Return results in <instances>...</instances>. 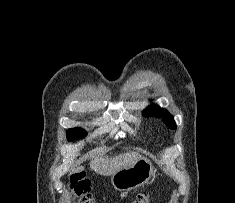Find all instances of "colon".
Segmentation results:
<instances>
[{
    "label": "colon",
    "mask_w": 235,
    "mask_h": 203,
    "mask_svg": "<svg viewBox=\"0 0 235 203\" xmlns=\"http://www.w3.org/2000/svg\"><path fill=\"white\" fill-rule=\"evenodd\" d=\"M70 192L74 203H96L92 195V185L89 179L81 174L73 175L70 181ZM148 193H140L131 203H149Z\"/></svg>",
    "instance_id": "1"
}]
</instances>
